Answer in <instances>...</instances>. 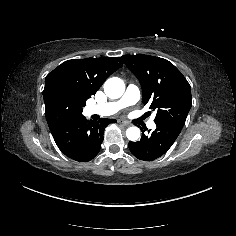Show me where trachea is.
<instances>
[{"mask_svg":"<svg viewBox=\"0 0 236 236\" xmlns=\"http://www.w3.org/2000/svg\"><path fill=\"white\" fill-rule=\"evenodd\" d=\"M149 114H148V112L144 115V117H147Z\"/></svg>","mask_w":236,"mask_h":236,"instance_id":"1","label":"trachea"}]
</instances>
